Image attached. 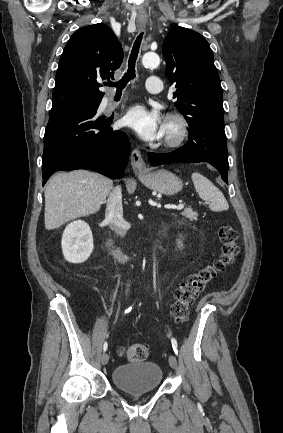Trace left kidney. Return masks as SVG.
<instances>
[{"instance_id":"1","label":"left kidney","mask_w":283,"mask_h":433,"mask_svg":"<svg viewBox=\"0 0 283 433\" xmlns=\"http://www.w3.org/2000/svg\"><path fill=\"white\" fill-rule=\"evenodd\" d=\"M178 244H181V242H180V241H178Z\"/></svg>"}]
</instances>
